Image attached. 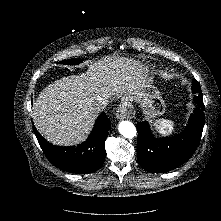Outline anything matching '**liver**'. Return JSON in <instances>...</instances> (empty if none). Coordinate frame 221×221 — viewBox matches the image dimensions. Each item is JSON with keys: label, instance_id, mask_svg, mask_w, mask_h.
<instances>
[{"label": "liver", "instance_id": "liver-1", "mask_svg": "<svg viewBox=\"0 0 221 221\" xmlns=\"http://www.w3.org/2000/svg\"><path fill=\"white\" fill-rule=\"evenodd\" d=\"M145 68L136 60L106 56L91 63L85 73L58 79L40 92L32 117L39 133L55 145L85 140L103 108L97 102L113 95H131L143 81Z\"/></svg>", "mask_w": 221, "mask_h": 221}]
</instances>
